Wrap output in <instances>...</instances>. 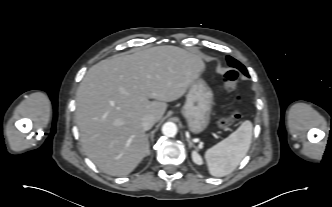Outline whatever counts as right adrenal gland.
<instances>
[{"instance_id": "1", "label": "right adrenal gland", "mask_w": 332, "mask_h": 207, "mask_svg": "<svg viewBox=\"0 0 332 207\" xmlns=\"http://www.w3.org/2000/svg\"><path fill=\"white\" fill-rule=\"evenodd\" d=\"M146 139H147V153L146 156H148L150 154V148H149V134L146 135Z\"/></svg>"}]
</instances>
